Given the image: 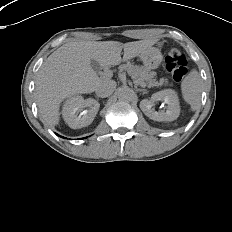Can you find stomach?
<instances>
[{
  "label": "stomach",
  "mask_w": 232,
  "mask_h": 232,
  "mask_svg": "<svg viewBox=\"0 0 232 232\" xmlns=\"http://www.w3.org/2000/svg\"><path fill=\"white\" fill-rule=\"evenodd\" d=\"M140 58L143 61L145 68L155 69L162 61V54L159 49L150 47L140 54Z\"/></svg>",
  "instance_id": "1"
}]
</instances>
